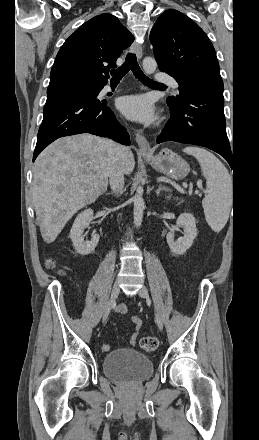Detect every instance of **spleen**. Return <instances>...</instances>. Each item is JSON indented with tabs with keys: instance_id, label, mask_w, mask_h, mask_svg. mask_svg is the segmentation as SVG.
Wrapping results in <instances>:
<instances>
[{
	"instance_id": "3e777b00",
	"label": "spleen",
	"mask_w": 259,
	"mask_h": 440,
	"mask_svg": "<svg viewBox=\"0 0 259 440\" xmlns=\"http://www.w3.org/2000/svg\"><path fill=\"white\" fill-rule=\"evenodd\" d=\"M184 153L194 156L206 178L208 195L202 201L208 225L220 232L228 221L232 206V178L223 163L200 147H186Z\"/></svg>"
}]
</instances>
